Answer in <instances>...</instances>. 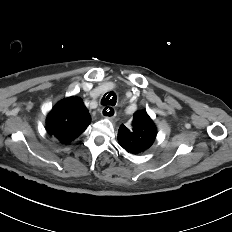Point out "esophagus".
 Returning <instances> with one entry per match:
<instances>
[{
    "label": "esophagus",
    "instance_id": "esophagus-1",
    "mask_svg": "<svg viewBox=\"0 0 232 232\" xmlns=\"http://www.w3.org/2000/svg\"><path fill=\"white\" fill-rule=\"evenodd\" d=\"M101 114L105 118L112 119L116 116V110L113 107L105 106L101 109Z\"/></svg>",
    "mask_w": 232,
    "mask_h": 232
}]
</instances>
